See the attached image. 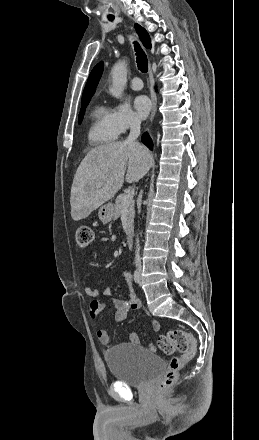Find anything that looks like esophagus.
Here are the masks:
<instances>
[{
    "instance_id": "34e87169",
    "label": "esophagus",
    "mask_w": 259,
    "mask_h": 440,
    "mask_svg": "<svg viewBox=\"0 0 259 440\" xmlns=\"http://www.w3.org/2000/svg\"><path fill=\"white\" fill-rule=\"evenodd\" d=\"M151 101H152V110L150 115V121L153 120L157 110V98L152 88H151Z\"/></svg>"
}]
</instances>
